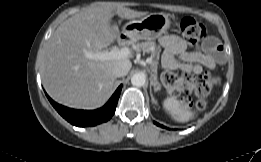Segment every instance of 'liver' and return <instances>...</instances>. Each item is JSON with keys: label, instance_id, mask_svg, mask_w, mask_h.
I'll list each match as a JSON object with an SVG mask.
<instances>
[{"label": "liver", "instance_id": "1", "mask_svg": "<svg viewBox=\"0 0 261 162\" xmlns=\"http://www.w3.org/2000/svg\"><path fill=\"white\" fill-rule=\"evenodd\" d=\"M115 14L135 19L147 12L106 3L68 18L52 34L41 73L45 90L55 101L81 109H95L106 102L115 81L114 66L130 60L102 61L89 59L86 54L102 52L118 38V27L110 24ZM124 35L133 39L132 34Z\"/></svg>", "mask_w": 261, "mask_h": 162}]
</instances>
